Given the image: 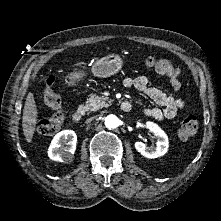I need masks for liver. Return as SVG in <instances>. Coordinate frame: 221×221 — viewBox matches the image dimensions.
I'll list each match as a JSON object with an SVG mask.
<instances>
[{"instance_id":"1","label":"liver","mask_w":221,"mask_h":221,"mask_svg":"<svg viewBox=\"0 0 221 221\" xmlns=\"http://www.w3.org/2000/svg\"><path fill=\"white\" fill-rule=\"evenodd\" d=\"M38 110L34 95L32 92H29L25 101L22 117V127L25 139L28 143L32 141L35 126L37 123Z\"/></svg>"}]
</instances>
